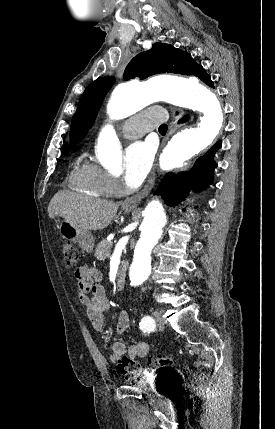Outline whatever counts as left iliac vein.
I'll use <instances>...</instances> for the list:
<instances>
[{"instance_id": "left-iliac-vein-1", "label": "left iliac vein", "mask_w": 275, "mask_h": 429, "mask_svg": "<svg viewBox=\"0 0 275 429\" xmlns=\"http://www.w3.org/2000/svg\"><path fill=\"white\" fill-rule=\"evenodd\" d=\"M153 318L155 320L156 326L159 330L164 329V320L161 316V314L157 311L153 312Z\"/></svg>"}]
</instances>
